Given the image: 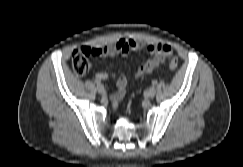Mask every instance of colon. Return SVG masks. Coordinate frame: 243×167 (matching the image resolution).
Returning <instances> with one entry per match:
<instances>
[{"label":"colon","mask_w":243,"mask_h":167,"mask_svg":"<svg viewBox=\"0 0 243 167\" xmlns=\"http://www.w3.org/2000/svg\"><path fill=\"white\" fill-rule=\"evenodd\" d=\"M92 55V49L91 48H86L82 47L79 49H76L72 53V67L74 72L79 75L83 76L88 73L91 67L90 63V56ZM178 67V60L176 58H172L169 62V68L174 71Z\"/></svg>","instance_id":"5ec220e1"}]
</instances>
